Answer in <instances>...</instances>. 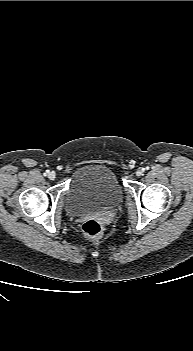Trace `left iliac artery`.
Here are the masks:
<instances>
[{
    "mask_svg": "<svg viewBox=\"0 0 193 351\" xmlns=\"http://www.w3.org/2000/svg\"><path fill=\"white\" fill-rule=\"evenodd\" d=\"M146 169H148V167H146ZM145 170V168H143V171Z\"/></svg>",
    "mask_w": 193,
    "mask_h": 351,
    "instance_id": "left-iliac-artery-1",
    "label": "left iliac artery"
}]
</instances>
